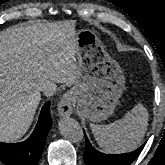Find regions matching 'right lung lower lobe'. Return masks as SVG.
Segmentation results:
<instances>
[{"label": "right lung lower lobe", "instance_id": "1", "mask_svg": "<svg viewBox=\"0 0 165 165\" xmlns=\"http://www.w3.org/2000/svg\"><path fill=\"white\" fill-rule=\"evenodd\" d=\"M50 102L41 109L37 125L31 136L20 143L0 142V161L6 165H37L51 127Z\"/></svg>", "mask_w": 165, "mask_h": 165}]
</instances>
